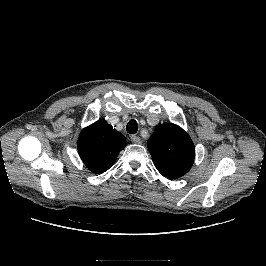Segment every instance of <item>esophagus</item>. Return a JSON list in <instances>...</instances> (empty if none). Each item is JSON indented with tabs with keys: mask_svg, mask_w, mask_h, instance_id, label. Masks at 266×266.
Listing matches in <instances>:
<instances>
[{
	"mask_svg": "<svg viewBox=\"0 0 266 266\" xmlns=\"http://www.w3.org/2000/svg\"><path fill=\"white\" fill-rule=\"evenodd\" d=\"M131 141L135 144H141L142 140L140 137L136 136V135H131Z\"/></svg>",
	"mask_w": 266,
	"mask_h": 266,
	"instance_id": "1",
	"label": "esophagus"
}]
</instances>
